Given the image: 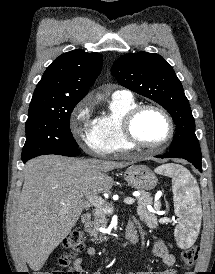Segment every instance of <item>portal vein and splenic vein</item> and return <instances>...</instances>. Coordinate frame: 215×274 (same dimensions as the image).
I'll use <instances>...</instances> for the list:
<instances>
[{"instance_id":"18ae733b","label":"portal vein and splenic vein","mask_w":215,"mask_h":274,"mask_svg":"<svg viewBox=\"0 0 215 274\" xmlns=\"http://www.w3.org/2000/svg\"><path fill=\"white\" fill-rule=\"evenodd\" d=\"M73 198V196H69ZM135 202V199L132 197H127L124 199V203L131 205ZM87 203H90L97 209L104 211L105 213H112L113 207L110 206L104 199L98 196H87Z\"/></svg>"}]
</instances>
